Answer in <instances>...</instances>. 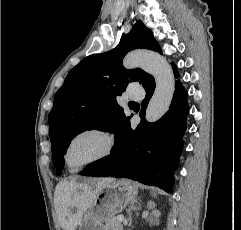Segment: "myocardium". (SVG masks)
Returning <instances> with one entry per match:
<instances>
[{"label": "myocardium", "instance_id": "f54148a6", "mask_svg": "<svg viewBox=\"0 0 241 230\" xmlns=\"http://www.w3.org/2000/svg\"><path fill=\"white\" fill-rule=\"evenodd\" d=\"M97 134L100 135L101 137L104 138L105 142H106V147L104 149V151L97 155L96 157L80 164L77 167L71 168L68 164V160H67V155H68V151L70 148V145L72 144V142L78 138L79 136L85 135V134ZM115 149V139L113 137V135L104 127L101 126H89V127H85L79 131H77L75 134H73L70 139L68 140L65 148H64V152H63V161L65 166L68 168V170L70 171H78L84 167H87L89 165H92L94 163H97L99 161H102L108 157H110L112 155V153L114 152Z\"/></svg>", "mask_w": 241, "mask_h": 230}]
</instances>
